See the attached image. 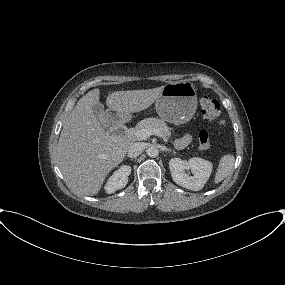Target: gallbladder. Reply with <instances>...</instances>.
<instances>
[{
	"label": "gallbladder",
	"instance_id": "bac80fb5",
	"mask_svg": "<svg viewBox=\"0 0 285 285\" xmlns=\"http://www.w3.org/2000/svg\"><path fill=\"white\" fill-rule=\"evenodd\" d=\"M92 111H93V114L96 117V119L101 123V125L103 127H105L104 119L106 116V112L104 110V105L101 103H97V104L93 105Z\"/></svg>",
	"mask_w": 285,
	"mask_h": 285
}]
</instances>
